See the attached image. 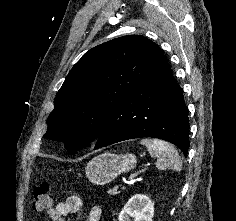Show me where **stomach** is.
I'll return each mask as SVG.
<instances>
[{"label":"stomach","mask_w":236,"mask_h":221,"mask_svg":"<svg viewBox=\"0 0 236 221\" xmlns=\"http://www.w3.org/2000/svg\"><path fill=\"white\" fill-rule=\"evenodd\" d=\"M134 154L104 153L94 157L86 167V176L95 185H105L136 166Z\"/></svg>","instance_id":"0dacf381"}]
</instances>
